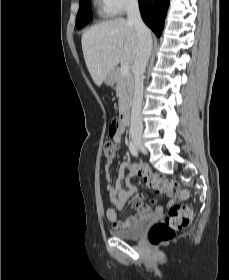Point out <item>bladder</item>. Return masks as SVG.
Instances as JSON below:
<instances>
[{"label":"bladder","mask_w":229,"mask_h":280,"mask_svg":"<svg viewBox=\"0 0 229 280\" xmlns=\"http://www.w3.org/2000/svg\"><path fill=\"white\" fill-rule=\"evenodd\" d=\"M145 226L146 221L139 220L129 228L114 230L111 233L113 236L123 240L137 239L143 234Z\"/></svg>","instance_id":"1"}]
</instances>
